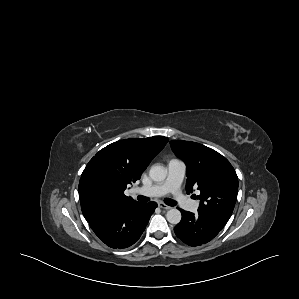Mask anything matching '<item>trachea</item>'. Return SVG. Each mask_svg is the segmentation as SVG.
I'll return each instance as SVG.
<instances>
[{"label":"trachea","instance_id":"trachea-1","mask_svg":"<svg viewBox=\"0 0 299 299\" xmlns=\"http://www.w3.org/2000/svg\"><path fill=\"white\" fill-rule=\"evenodd\" d=\"M138 200L142 201V202H147L149 199L147 197L139 195ZM164 202L169 206H175L177 204L176 201L169 199V198L165 199Z\"/></svg>","mask_w":299,"mask_h":299}]
</instances>
